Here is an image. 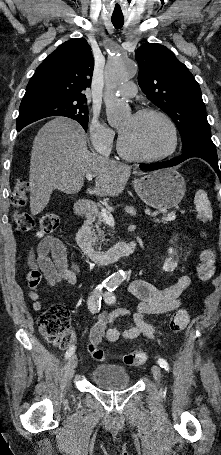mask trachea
<instances>
[{
  "mask_svg": "<svg viewBox=\"0 0 221 455\" xmlns=\"http://www.w3.org/2000/svg\"><path fill=\"white\" fill-rule=\"evenodd\" d=\"M111 21L115 28L120 29L124 24L123 18H111Z\"/></svg>",
  "mask_w": 221,
  "mask_h": 455,
  "instance_id": "3493384b",
  "label": "trachea"
}]
</instances>
